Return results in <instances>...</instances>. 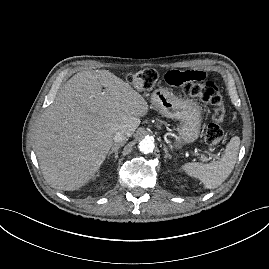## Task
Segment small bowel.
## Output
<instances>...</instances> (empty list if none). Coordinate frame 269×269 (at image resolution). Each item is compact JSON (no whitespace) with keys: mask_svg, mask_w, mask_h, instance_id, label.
Returning <instances> with one entry per match:
<instances>
[{"mask_svg":"<svg viewBox=\"0 0 269 269\" xmlns=\"http://www.w3.org/2000/svg\"><path fill=\"white\" fill-rule=\"evenodd\" d=\"M162 83L164 85H171L176 83L177 85H184L187 81H194L195 83H201L202 85L211 84V79L208 77L206 71H194L192 68H186L176 71H166L162 73Z\"/></svg>","mask_w":269,"mask_h":269,"instance_id":"c3829d8e","label":"small bowel"}]
</instances>
